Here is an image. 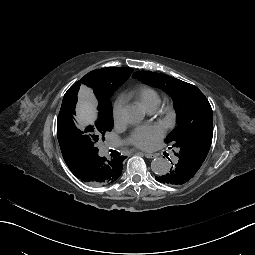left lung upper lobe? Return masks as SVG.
Instances as JSON below:
<instances>
[{
	"mask_svg": "<svg viewBox=\"0 0 255 255\" xmlns=\"http://www.w3.org/2000/svg\"><path fill=\"white\" fill-rule=\"evenodd\" d=\"M132 76L147 85L162 89L172 97L177 126L167 136L165 143L178 148L179 153L175 154L179 157L178 163L184 169L191 170L194 176L204 162L212 142V108L207 98L196 86L165 74L137 71Z\"/></svg>",
	"mask_w": 255,
	"mask_h": 255,
	"instance_id": "5c2ea615",
	"label": "left lung upper lobe"
}]
</instances>
